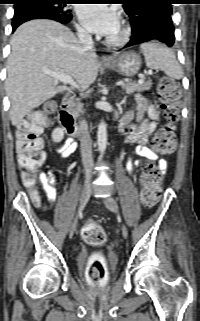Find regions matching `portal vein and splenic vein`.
I'll use <instances>...</instances> for the list:
<instances>
[{"label": "portal vein and splenic vein", "instance_id": "1", "mask_svg": "<svg viewBox=\"0 0 200 321\" xmlns=\"http://www.w3.org/2000/svg\"><path fill=\"white\" fill-rule=\"evenodd\" d=\"M44 72L50 76H52L54 79L58 80V81H62L65 84H69L72 87H76L78 88V85L76 84V82L72 79L71 76L64 74V73H56V72H52L49 70H44ZM148 74L151 75L152 74V70L148 71ZM117 86H122L123 85V81H118L116 82Z\"/></svg>", "mask_w": 200, "mask_h": 321}]
</instances>
